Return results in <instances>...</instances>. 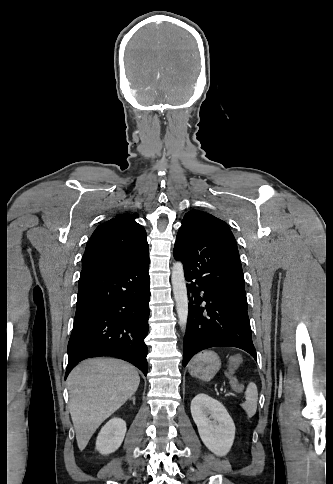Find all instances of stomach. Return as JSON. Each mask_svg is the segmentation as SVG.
<instances>
[{
  "label": "stomach",
  "mask_w": 333,
  "mask_h": 484,
  "mask_svg": "<svg viewBox=\"0 0 333 484\" xmlns=\"http://www.w3.org/2000/svg\"><path fill=\"white\" fill-rule=\"evenodd\" d=\"M221 368V361L215 352L206 350L195 356L189 364V372L193 377L210 381Z\"/></svg>",
  "instance_id": "stomach-1"
}]
</instances>
